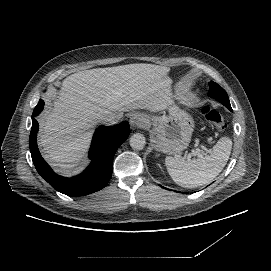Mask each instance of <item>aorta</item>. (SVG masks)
Wrapping results in <instances>:
<instances>
[{
	"instance_id": "762f6f07",
	"label": "aorta",
	"mask_w": 271,
	"mask_h": 271,
	"mask_svg": "<svg viewBox=\"0 0 271 271\" xmlns=\"http://www.w3.org/2000/svg\"><path fill=\"white\" fill-rule=\"evenodd\" d=\"M146 140L141 134H134L130 138V146L133 150L140 151L145 147Z\"/></svg>"
}]
</instances>
